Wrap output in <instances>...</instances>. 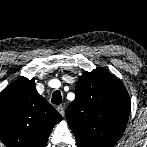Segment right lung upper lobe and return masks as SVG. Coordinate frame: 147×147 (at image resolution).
Returning a JSON list of instances; mask_svg holds the SVG:
<instances>
[{"label": "right lung upper lobe", "mask_w": 147, "mask_h": 147, "mask_svg": "<svg viewBox=\"0 0 147 147\" xmlns=\"http://www.w3.org/2000/svg\"><path fill=\"white\" fill-rule=\"evenodd\" d=\"M61 115L21 77L0 93V139L7 147H45Z\"/></svg>", "instance_id": "obj_1"}]
</instances>
